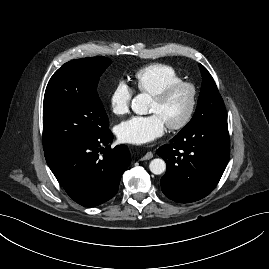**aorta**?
I'll use <instances>...</instances> for the list:
<instances>
[{
    "label": "aorta",
    "instance_id": "aorta-1",
    "mask_svg": "<svg viewBox=\"0 0 269 269\" xmlns=\"http://www.w3.org/2000/svg\"><path fill=\"white\" fill-rule=\"evenodd\" d=\"M150 96L148 94H139L132 100L131 108L134 113L144 115L148 112ZM150 171L155 175H160L166 170V163L163 159H153L149 164Z\"/></svg>",
    "mask_w": 269,
    "mask_h": 269
}]
</instances>
